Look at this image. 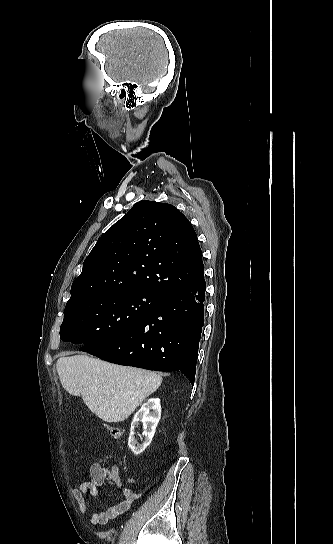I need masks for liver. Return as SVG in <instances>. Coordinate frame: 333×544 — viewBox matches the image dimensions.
<instances>
[{
    "label": "liver",
    "mask_w": 333,
    "mask_h": 544,
    "mask_svg": "<svg viewBox=\"0 0 333 544\" xmlns=\"http://www.w3.org/2000/svg\"><path fill=\"white\" fill-rule=\"evenodd\" d=\"M56 367L63 388L108 423L124 421L162 383L154 372L87 355L61 357Z\"/></svg>",
    "instance_id": "obj_1"
}]
</instances>
